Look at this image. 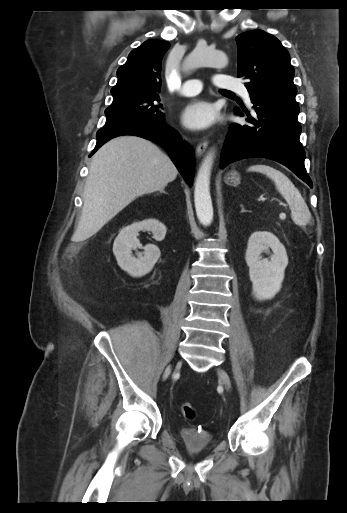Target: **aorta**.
<instances>
[{"label":"aorta","mask_w":347,"mask_h":513,"mask_svg":"<svg viewBox=\"0 0 347 513\" xmlns=\"http://www.w3.org/2000/svg\"><path fill=\"white\" fill-rule=\"evenodd\" d=\"M228 65V58L224 52L212 51L203 45L197 47L183 62L185 71L199 67L224 68ZM215 157V151L210 150L204 157L195 181L194 202L198 220L203 225L211 224L213 220V206L210 195V176Z\"/></svg>","instance_id":"obj_1"}]
</instances>
